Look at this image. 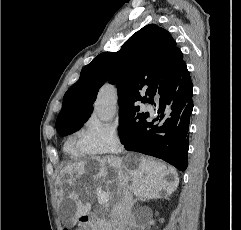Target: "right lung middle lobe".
<instances>
[{"label": "right lung middle lobe", "mask_w": 241, "mask_h": 230, "mask_svg": "<svg viewBox=\"0 0 241 230\" xmlns=\"http://www.w3.org/2000/svg\"><path fill=\"white\" fill-rule=\"evenodd\" d=\"M147 115V112H140L139 106L121 107L119 109V136L121 142H125L128 139L130 134L146 120ZM81 126L82 124L70 129L58 131V133L65 136L77 131Z\"/></svg>", "instance_id": "dd1d6c3e"}]
</instances>
